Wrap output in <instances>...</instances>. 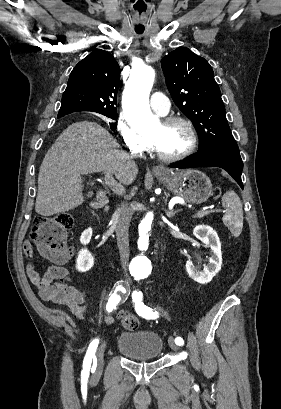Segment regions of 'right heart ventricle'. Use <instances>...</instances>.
<instances>
[{"label": "right heart ventricle", "mask_w": 281, "mask_h": 409, "mask_svg": "<svg viewBox=\"0 0 281 409\" xmlns=\"http://www.w3.org/2000/svg\"><path fill=\"white\" fill-rule=\"evenodd\" d=\"M144 145L140 148V149H138V150H135V152H141V151H143L144 150Z\"/></svg>", "instance_id": "right-heart-ventricle-1"}]
</instances>
